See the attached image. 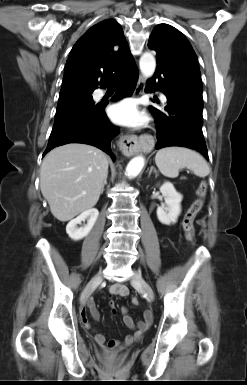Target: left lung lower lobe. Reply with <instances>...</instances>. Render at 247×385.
<instances>
[{
    "mask_svg": "<svg viewBox=\"0 0 247 385\" xmlns=\"http://www.w3.org/2000/svg\"><path fill=\"white\" fill-rule=\"evenodd\" d=\"M158 78L156 84L155 79ZM160 89L167 97L164 111L150 107L157 123L155 148L182 146L204 154L208 151L202 133V94L189 86L166 63L157 59L156 72L146 85V92ZM158 102V100H156Z\"/></svg>",
    "mask_w": 247,
    "mask_h": 385,
    "instance_id": "obj_1",
    "label": "left lung lower lobe"
}]
</instances>
